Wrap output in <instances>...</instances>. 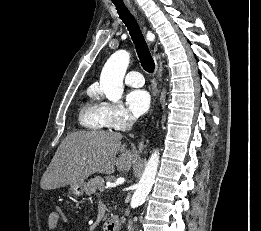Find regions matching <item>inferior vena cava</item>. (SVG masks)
<instances>
[{
	"mask_svg": "<svg viewBox=\"0 0 261 231\" xmlns=\"http://www.w3.org/2000/svg\"><path fill=\"white\" fill-rule=\"evenodd\" d=\"M134 124V118L133 117H129L127 119V123H126V126H127V130H131L132 126Z\"/></svg>",
	"mask_w": 261,
	"mask_h": 231,
	"instance_id": "inferior-vena-cava-1",
	"label": "inferior vena cava"
}]
</instances>
